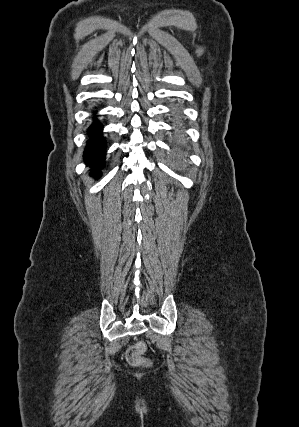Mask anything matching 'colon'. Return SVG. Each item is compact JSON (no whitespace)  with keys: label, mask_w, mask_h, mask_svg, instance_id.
I'll list each match as a JSON object with an SVG mask.
<instances>
[{"label":"colon","mask_w":299,"mask_h":427,"mask_svg":"<svg viewBox=\"0 0 299 427\" xmlns=\"http://www.w3.org/2000/svg\"><path fill=\"white\" fill-rule=\"evenodd\" d=\"M147 346L144 342H138L128 348L126 352L127 362L134 367H146L150 365V360L144 356Z\"/></svg>","instance_id":"5ec220e1"}]
</instances>
